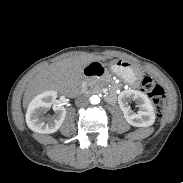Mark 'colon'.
<instances>
[{
  "label": "colon",
  "mask_w": 183,
  "mask_h": 183,
  "mask_svg": "<svg viewBox=\"0 0 183 183\" xmlns=\"http://www.w3.org/2000/svg\"><path fill=\"white\" fill-rule=\"evenodd\" d=\"M142 90L153 102L157 114L162 116L166 105V96L163 87L152 78L145 77L142 81Z\"/></svg>",
  "instance_id": "1"
}]
</instances>
